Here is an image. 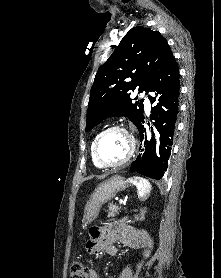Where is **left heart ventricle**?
Masks as SVG:
<instances>
[{"mask_svg":"<svg viewBox=\"0 0 221 278\" xmlns=\"http://www.w3.org/2000/svg\"><path fill=\"white\" fill-rule=\"evenodd\" d=\"M129 150V140L125 134L112 131L102 137L98 145V155L105 164H115L124 159Z\"/></svg>","mask_w":221,"mask_h":278,"instance_id":"b2bd125f","label":"left heart ventricle"}]
</instances>
